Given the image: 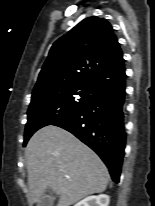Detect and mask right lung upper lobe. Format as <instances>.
Returning <instances> with one entry per match:
<instances>
[{
	"instance_id": "right-lung-upper-lobe-1",
	"label": "right lung upper lobe",
	"mask_w": 155,
	"mask_h": 206,
	"mask_svg": "<svg viewBox=\"0 0 155 206\" xmlns=\"http://www.w3.org/2000/svg\"><path fill=\"white\" fill-rule=\"evenodd\" d=\"M125 76L122 50L112 26L89 17L53 44L32 94L76 85L101 91Z\"/></svg>"
}]
</instances>
